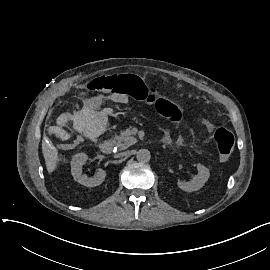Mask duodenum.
Instances as JSON below:
<instances>
[{
	"label": "duodenum",
	"mask_w": 270,
	"mask_h": 270,
	"mask_svg": "<svg viewBox=\"0 0 270 270\" xmlns=\"http://www.w3.org/2000/svg\"><path fill=\"white\" fill-rule=\"evenodd\" d=\"M99 148H100L101 152H103L104 154H109L112 151L113 142L111 140H105V141L100 143Z\"/></svg>",
	"instance_id": "1"
}]
</instances>
